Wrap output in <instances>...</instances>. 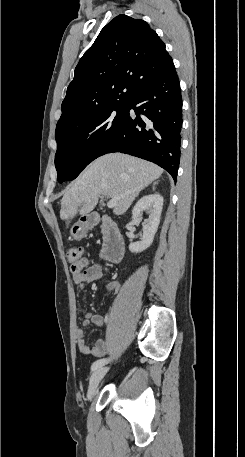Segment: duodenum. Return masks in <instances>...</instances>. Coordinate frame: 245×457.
I'll list each match as a JSON object with an SVG mask.
<instances>
[{
  "mask_svg": "<svg viewBox=\"0 0 245 457\" xmlns=\"http://www.w3.org/2000/svg\"><path fill=\"white\" fill-rule=\"evenodd\" d=\"M86 226L100 224L104 231L102 257L109 262L118 263L124 256V240L117 224L109 216L89 215L84 218Z\"/></svg>",
  "mask_w": 245,
  "mask_h": 457,
  "instance_id": "410a0bca",
  "label": "duodenum"
}]
</instances>
